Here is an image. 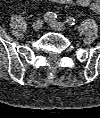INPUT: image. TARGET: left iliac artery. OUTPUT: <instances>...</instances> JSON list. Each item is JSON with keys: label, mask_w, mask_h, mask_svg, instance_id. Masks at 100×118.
I'll return each mask as SVG.
<instances>
[{"label": "left iliac artery", "mask_w": 100, "mask_h": 118, "mask_svg": "<svg viewBox=\"0 0 100 118\" xmlns=\"http://www.w3.org/2000/svg\"><path fill=\"white\" fill-rule=\"evenodd\" d=\"M66 23H67L69 26H73V25H75L76 21H75V19H74L73 17H68V18L66 19Z\"/></svg>", "instance_id": "44dca946"}]
</instances>
